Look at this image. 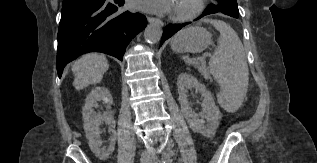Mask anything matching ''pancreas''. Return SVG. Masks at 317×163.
Segmentation results:
<instances>
[{
    "mask_svg": "<svg viewBox=\"0 0 317 163\" xmlns=\"http://www.w3.org/2000/svg\"><path fill=\"white\" fill-rule=\"evenodd\" d=\"M197 65V67L201 70V71H204L205 70V66L204 64L202 63L201 65H198L197 63H195Z\"/></svg>",
    "mask_w": 317,
    "mask_h": 163,
    "instance_id": "obj_1",
    "label": "pancreas"
}]
</instances>
